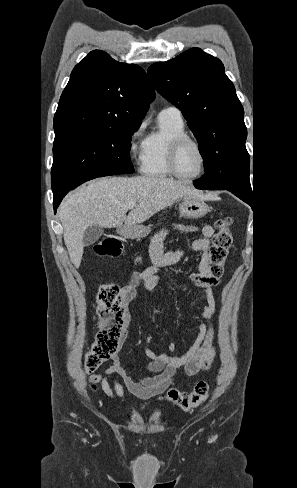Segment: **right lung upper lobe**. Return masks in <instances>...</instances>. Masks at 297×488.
<instances>
[{
    "label": "right lung upper lobe",
    "instance_id": "obj_1",
    "mask_svg": "<svg viewBox=\"0 0 297 488\" xmlns=\"http://www.w3.org/2000/svg\"><path fill=\"white\" fill-rule=\"evenodd\" d=\"M155 93L145 71L101 50L71 73L54 116L56 135L78 130L140 126Z\"/></svg>",
    "mask_w": 297,
    "mask_h": 488
}]
</instances>
